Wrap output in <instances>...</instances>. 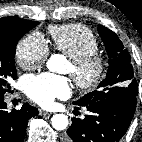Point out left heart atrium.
I'll use <instances>...</instances> for the list:
<instances>
[{
  "label": "left heart atrium",
  "instance_id": "39dd6f15",
  "mask_svg": "<svg viewBox=\"0 0 142 142\" xmlns=\"http://www.w3.org/2000/svg\"><path fill=\"white\" fill-rule=\"evenodd\" d=\"M25 92L39 105L49 106L56 98L67 97L70 94V86L63 76L43 73L25 80Z\"/></svg>",
  "mask_w": 142,
  "mask_h": 142
}]
</instances>
